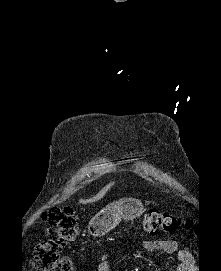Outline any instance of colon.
<instances>
[{
  "mask_svg": "<svg viewBox=\"0 0 221 271\" xmlns=\"http://www.w3.org/2000/svg\"><path fill=\"white\" fill-rule=\"evenodd\" d=\"M43 220L50 225V235L34 247L33 258L37 271H74L70 258L60 253L79 235L76 213L69 206H54L44 211ZM142 223L149 234L173 232L186 224L180 217L157 208L147 210Z\"/></svg>",
  "mask_w": 221,
  "mask_h": 271,
  "instance_id": "1",
  "label": "colon"
}]
</instances>
